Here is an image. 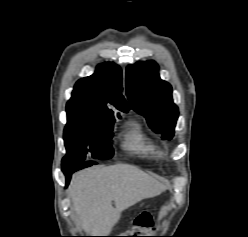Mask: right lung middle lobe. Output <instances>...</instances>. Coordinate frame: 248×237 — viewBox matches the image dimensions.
<instances>
[{"mask_svg": "<svg viewBox=\"0 0 248 237\" xmlns=\"http://www.w3.org/2000/svg\"><path fill=\"white\" fill-rule=\"evenodd\" d=\"M67 124L64 141L67 150L62 165L83 162L87 153L96 160L109 159L113 148L112 139L114 116H96L76 108L66 107Z\"/></svg>", "mask_w": 248, "mask_h": 237, "instance_id": "right-lung-middle-lobe-1", "label": "right lung middle lobe"}]
</instances>
